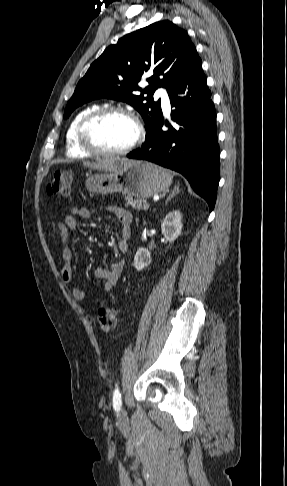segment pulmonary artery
<instances>
[{
    "label": "pulmonary artery",
    "instance_id": "1",
    "mask_svg": "<svg viewBox=\"0 0 287 486\" xmlns=\"http://www.w3.org/2000/svg\"><path fill=\"white\" fill-rule=\"evenodd\" d=\"M156 96L161 98L163 108L168 111L170 108V101L169 97L164 89H158L156 92Z\"/></svg>",
    "mask_w": 287,
    "mask_h": 486
}]
</instances>
